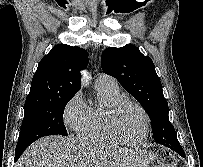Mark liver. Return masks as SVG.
<instances>
[{"instance_id": "1", "label": "liver", "mask_w": 203, "mask_h": 167, "mask_svg": "<svg viewBox=\"0 0 203 167\" xmlns=\"http://www.w3.org/2000/svg\"><path fill=\"white\" fill-rule=\"evenodd\" d=\"M137 152L89 143L72 137L48 136L31 144L16 167H148Z\"/></svg>"}]
</instances>
